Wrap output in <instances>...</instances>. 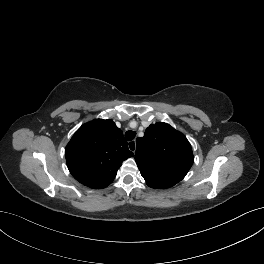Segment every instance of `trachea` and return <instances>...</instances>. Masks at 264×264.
<instances>
[{"label": "trachea", "mask_w": 264, "mask_h": 264, "mask_svg": "<svg viewBox=\"0 0 264 264\" xmlns=\"http://www.w3.org/2000/svg\"><path fill=\"white\" fill-rule=\"evenodd\" d=\"M135 136H136V132L135 131H131L130 130V131H127L125 133V138H126L127 141L133 140L135 138Z\"/></svg>", "instance_id": "1"}]
</instances>
